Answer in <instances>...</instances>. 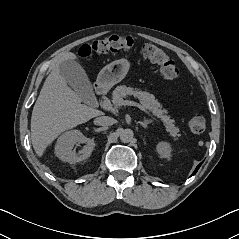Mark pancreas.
I'll return each mask as SVG.
<instances>
[{
	"instance_id": "cf45deb5",
	"label": "pancreas",
	"mask_w": 239,
	"mask_h": 239,
	"mask_svg": "<svg viewBox=\"0 0 239 239\" xmlns=\"http://www.w3.org/2000/svg\"><path fill=\"white\" fill-rule=\"evenodd\" d=\"M127 96H134L140 101L141 105L145 109L151 111L154 116L160 118L164 126L166 127V131L174 138V140L178 139V137L181 136L179 133V128L174 124L175 121L173 119H170V117L166 115L167 110L161 109V104L157 100H155L154 95L150 94L147 91H143L141 89L130 86L127 87L125 85L117 86L112 93L113 107L108 102L106 103V107L108 109H111L113 112H116L119 106L117 103L118 100L123 99Z\"/></svg>"
}]
</instances>
